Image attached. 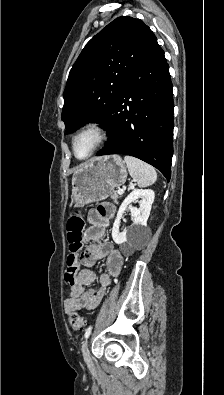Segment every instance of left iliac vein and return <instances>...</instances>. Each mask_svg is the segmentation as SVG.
Wrapping results in <instances>:
<instances>
[{
  "label": "left iliac vein",
  "instance_id": "1",
  "mask_svg": "<svg viewBox=\"0 0 224 395\" xmlns=\"http://www.w3.org/2000/svg\"><path fill=\"white\" fill-rule=\"evenodd\" d=\"M82 355H83L84 361L87 364H90L91 363V357H90V354H89V351H88V340H86L83 343V345H82Z\"/></svg>",
  "mask_w": 224,
  "mask_h": 395
}]
</instances>
